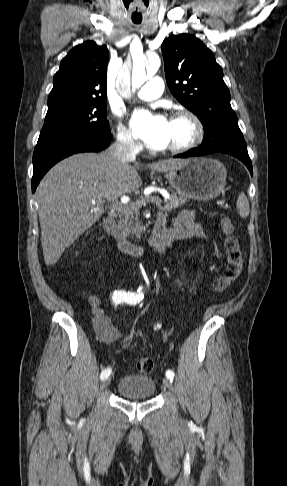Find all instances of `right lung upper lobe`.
Segmentation results:
<instances>
[{
	"mask_svg": "<svg viewBox=\"0 0 287 486\" xmlns=\"http://www.w3.org/2000/svg\"><path fill=\"white\" fill-rule=\"evenodd\" d=\"M109 59L105 45L87 41L75 46L54 75L48 107L67 102L106 99V72Z\"/></svg>",
	"mask_w": 287,
	"mask_h": 486,
	"instance_id": "cb5924a9",
	"label": "right lung upper lobe"
}]
</instances>
